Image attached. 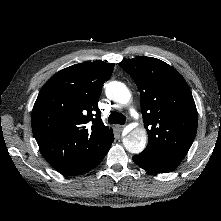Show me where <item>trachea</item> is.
<instances>
[{
    "label": "trachea",
    "mask_w": 221,
    "mask_h": 221,
    "mask_svg": "<svg viewBox=\"0 0 221 221\" xmlns=\"http://www.w3.org/2000/svg\"><path fill=\"white\" fill-rule=\"evenodd\" d=\"M125 121H126L125 116L119 112H112L108 117V122L111 124L124 125Z\"/></svg>",
    "instance_id": "1"
}]
</instances>
